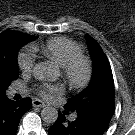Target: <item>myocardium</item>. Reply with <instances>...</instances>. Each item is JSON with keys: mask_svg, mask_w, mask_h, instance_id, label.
Masks as SVG:
<instances>
[{"mask_svg": "<svg viewBox=\"0 0 135 135\" xmlns=\"http://www.w3.org/2000/svg\"><path fill=\"white\" fill-rule=\"evenodd\" d=\"M61 75L72 89L82 90L92 79V63L85 55H78L61 67Z\"/></svg>", "mask_w": 135, "mask_h": 135, "instance_id": "1", "label": "myocardium"}]
</instances>
